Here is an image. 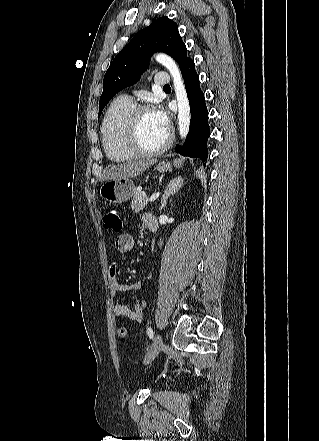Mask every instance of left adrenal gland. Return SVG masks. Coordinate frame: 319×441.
<instances>
[{"label": "left adrenal gland", "instance_id": "a2214340", "mask_svg": "<svg viewBox=\"0 0 319 441\" xmlns=\"http://www.w3.org/2000/svg\"><path fill=\"white\" fill-rule=\"evenodd\" d=\"M181 184H182V177L181 176L175 177L172 180H170V182L167 184V186L163 192V196H162V200H161V207L159 210H163L166 207L168 199L171 196H174V194H176L180 190Z\"/></svg>", "mask_w": 319, "mask_h": 441}]
</instances>
